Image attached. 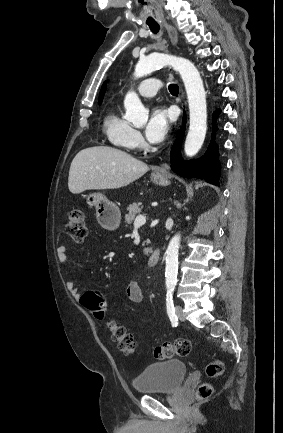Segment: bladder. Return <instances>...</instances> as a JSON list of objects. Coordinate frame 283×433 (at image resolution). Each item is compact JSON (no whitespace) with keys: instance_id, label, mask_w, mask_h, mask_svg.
<instances>
[{"instance_id":"1","label":"bladder","mask_w":283,"mask_h":433,"mask_svg":"<svg viewBox=\"0 0 283 433\" xmlns=\"http://www.w3.org/2000/svg\"><path fill=\"white\" fill-rule=\"evenodd\" d=\"M186 372L187 365L179 360L155 362L135 377L133 386L139 393L173 392L182 384Z\"/></svg>"}]
</instances>
